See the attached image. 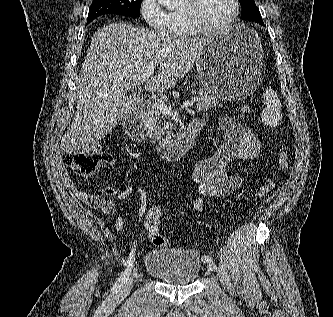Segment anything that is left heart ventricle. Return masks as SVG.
Masks as SVG:
<instances>
[{
	"mask_svg": "<svg viewBox=\"0 0 333 317\" xmlns=\"http://www.w3.org/2000/svg\"><path fill=\"white\" fill-rule=\"evenodd\" d=\"M187 6L185 0L181 9ZM197 17L204 25H218L227 20L233 12L232 0H199L197 4Z\"/></svg>",
	"mask_w": 333,
	"mask_h": 317,
	"instance_id": "left-heart-ventricle-1",
	"label": "left heart ventricle"
}]
</instances>
